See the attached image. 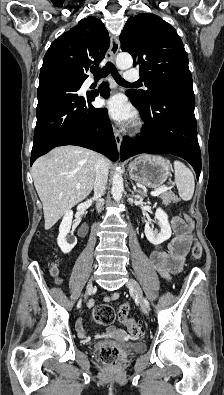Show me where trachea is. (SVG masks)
<instances>
[{
  "label": "trachea",
  "instance_id": "obj_1",
  "mask_svg": "<svg viewBox=\"0 0 224 395\" xmlns=\"http://www.w3.org/2000/svg\"><path fill=\"white\" fill-rule=\"evenodd\" d=\"M91 72L94 74L95 78H103L106 77L109 73L112 74L113 78L119 85L127 86V85H138V83H128L125 81L121 75L118 73L116 67L111 63L108 62L105 67L102 69L99 67H92Z\"/></svg>",
  "mask_w": 224,
  "mask_h": 395
}]
</instances>
